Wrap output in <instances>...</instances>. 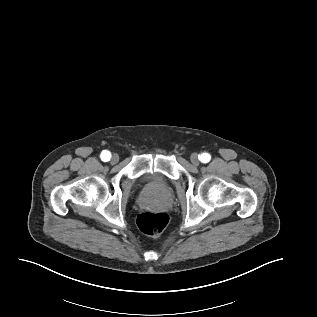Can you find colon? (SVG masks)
<instances>
[{
	"instance_id": "1",
	"label": "colon",
	"mask_w": 317,
	"mask_h": 317,
	"mask_svg": "<svg viewBox=\"0 0 317 317\" xmlns=\"http://www.w3.org/2000/svg\"><path fill=\"white\" fill-rule=\"evenodd\" d=\"M169 217L164 212H143L137 218L138 228L146 235L159 237L165 230Z\"/></svg>"
}]
</instances>
